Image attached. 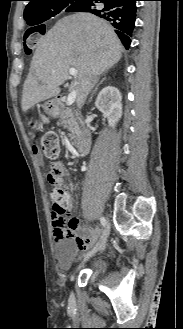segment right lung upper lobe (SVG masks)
Masks as SVG:
<instances>
[{"mask_svg":"<svg viewBox=\"0 0 183 329\" xmlns=\"http://www.w3.org/2000/svg\"><path fill=\"white\" fill-rule=\"evenodd\" d=\"M29 3L24 10V18L33 17L46 13L51 6L62 0H28Z\"/></svg>","mask_w":183,"mask_h":329,"instance_id":"cb5924a9","label":"right lung upper lobe"}]
</instances>
